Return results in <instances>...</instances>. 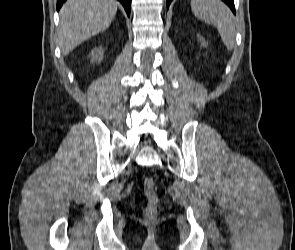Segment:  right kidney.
<instances>
[{"label": "right kidney", "instance_id": "right-kidney-1", "mask_svg": "<svg viewBox=\"0 0 295 250\" xmlns=\"http://www.w3.org/2000/svg\"><path fill=\"white\" fill-rule=\"evenodd\" d=\"M104 56V50L102 47H95L91 53V61L101 62Z\"/></svg>", "mask_w": 295, "mask_h": 250}]
</instances>
